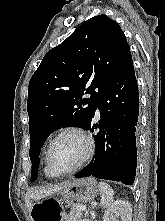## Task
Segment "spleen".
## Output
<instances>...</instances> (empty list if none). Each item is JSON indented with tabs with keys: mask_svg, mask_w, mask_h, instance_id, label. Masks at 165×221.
I'll use <instances>...</instances> for the list:
<instances>
[{
	"mask_svg": "<svg viewBox=\"0 0 165 221\" xmlns=\"http://www.w3.org/2000/svg\"><path fill=\"white\" fill-rule=\"evenodd\" d=\"M98 187L101 194V206L103 208H109L114 201L113 189L105 182H99Z\"/></svg>",
	"mask_w": 165,
	"mask_h": 221,
	"instance_id": "1",
	"label": "spleen"
}]
</instances>
